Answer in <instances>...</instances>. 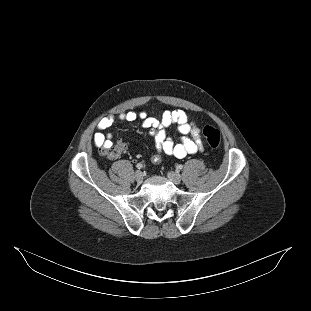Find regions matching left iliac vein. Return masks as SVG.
I'll return each mask as SVG.
<instances>
[{
  "mask_svg": "<svg viewBox=\"0 0 311 311\" xmlns=\"http://www.w3.org/2000/svg\"><path fill=\"white\" fill-rule=\"evenodd\" d=\"M170 181H172L174 184L178 185L181 182V176L173 171L168 172L167 174Z\"/></svg>",
  "mask_w": 311,
  "mask_h": 311,
  "instance_id": "1",
  "label": "left iliac vein"
}]
</instances>
